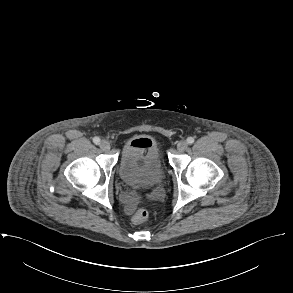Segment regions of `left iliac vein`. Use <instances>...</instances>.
I'll use <instances>...</instances> for the list:
<instances>
[{
  "mask_svg": "<svg viewBox=\"0 0 293 293\" xmlns=\"http://www.w3.org/2000/svg\"><path fill=\"white\" fill-rule=\"evenodd\" d=\"M188 147V143L185 141V140H181L178 142L177 144V149L180 151V152H183L187 149Z\"/></svg>",
  "mask_w": 293,
  "mask_h": 293,
  "instance_id": "left-iliac-vein-1",
  "label": "left iliac vein"
}]
</instances>
